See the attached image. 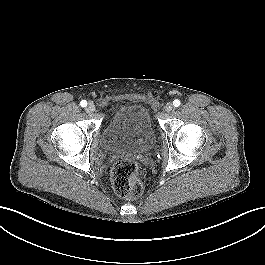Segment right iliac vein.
<instances>
[{"mask_svg": "<svg viewBox=\"0 0 265 265\" xmlns=\"http://www.w3.org/2000/svg\"><path fill=\"white\" fill-rule=\"evenodd\" d=\"M95 111V105L93 103H89L86 107V112L91 114Z\"/></svg>", "mask_w": 265, "mask_h": 265, "instance_id": "1", "label": "right iliac vein"}]
</instances>
